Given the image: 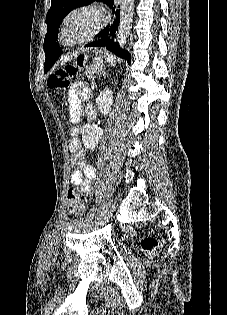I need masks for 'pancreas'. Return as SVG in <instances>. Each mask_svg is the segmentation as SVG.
Returning <instances> with one entry per match:
<instances>
[{"instance_id": "pancreas-1", "label": "pancreas", "mask_w": 227, "mask_h": 315, "mask_svg": "<svg viewBox=\"0 0 227 315\" xmlns=\"http://www.w3.org/2000/svg\"><path fill=\"white\" fill-rule=\"evenodd\" d=\"M100 73V67L90 65L86 67V75L88 79L94 80L96 75Z\"/></svg>"}]
</instances>
